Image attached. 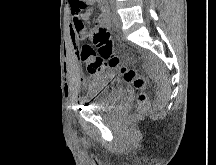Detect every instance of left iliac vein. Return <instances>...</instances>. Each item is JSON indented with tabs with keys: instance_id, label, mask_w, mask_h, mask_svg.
I'll list each match as a JSON object with an SVG mask.
<instances>
[{
	"instance_id": "left-iliac-vein-1",
	"label": "left iliac vein",
	"mask_w": 216,
	"mask_h": 165,
	"mask_svg": "<svg viewBox=\"0 0 216 165\" xmlns=\"http://www.w3.org/2000/svg\"><path fill=\"white\" fill-rule=\"evenodd\" d=\"M112 17H113V22H114V24H115L117 27H121L122 21H121V18H120V16H119V14L116 12V9H115V8L113 9V15H112Z\"/></svg>"
}]
</instances>
